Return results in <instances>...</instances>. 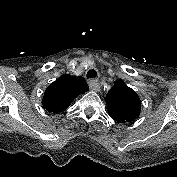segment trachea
<instances>
[{
	"instance_id": "3493384b",
	"label": "trachea",
	"mask_w": 177,
	"mask_h": 177,
	"mask_svg": "<svg viewBox=\"0 0 177 177\" xmlns=\"http://www.w3.org/2000/svg\"><path fill=\"white\" fill-rule=\"evenodd\" d=\"M96 75H97V73H96V71L95 70H89L88 72H87V78L88 79H90V78H95L96 77Z\"/></svg>"
}]
</instances>
